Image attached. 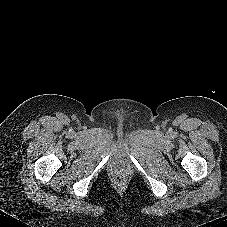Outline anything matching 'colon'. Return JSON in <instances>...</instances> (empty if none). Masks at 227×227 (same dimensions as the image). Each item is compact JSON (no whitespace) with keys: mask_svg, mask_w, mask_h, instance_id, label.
Instances as JSON below:
<instances>
[{"mask_svg":"<svg viewBox=\"0 0 227 227\" xmlns=\"http://www.w3.org/2000/svg\"><path fill=\"white\" fill-rule=\"evenodd\" d=\"M117 180H118L119 182H123V181L125 180V176H124V175H119V176L117 177Z\"/></svg>","mask_w":227,"mask_h":227,"instance_id":"5ec220e1","label":"colon"}]
</instances>
